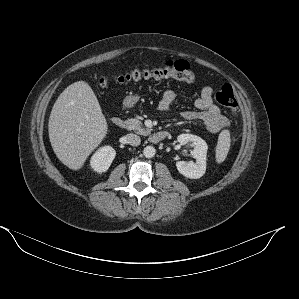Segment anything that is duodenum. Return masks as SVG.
<instances>
[{"label":"duodenum","mask_w":299,"mask_h":299,"mask_svg":"<svg viewBox=\"0 0 299 299\" xmlns=\"http://www.w3.org/2000/svg\"><path fill=\"white\" fill-rule=\"evenodd\" d=\"M111 123L113 126L119 127V128L124 126V121L119 117L112 118ZM168 135H169L168 131H158V132L151 134L149 137V140L152 143H158V142L164 140Z\"/></svg>","instance_id":"1"}]
</instances>
